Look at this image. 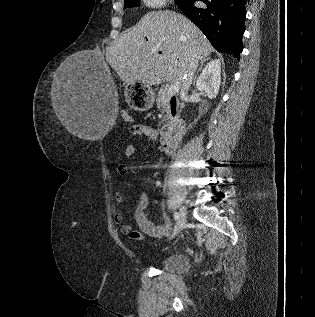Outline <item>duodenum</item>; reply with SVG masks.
I'll return each instance as SVG.
<instances>
[{"instance_id": "duodenum-1", "label": "duodenum", "mask_w": 315, "mask_h": 317, "mask_svg": "<svg viewBox=\"0 0 315 317\" xmlns=\"http://www.w3.org/2000/svg\"><path fill=\"white\" fill-rule=\"evenodd\" d=\"M178 106V99L175 95H173L169 100V107L174 119L170 127L166 131L162 132L160 136L161 146L167 154H172L177 150L178 143L185 130L184 121L177 113Z\"/></svg>"}]
</instances>
